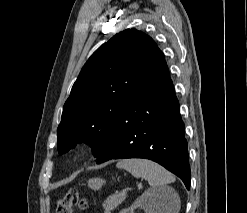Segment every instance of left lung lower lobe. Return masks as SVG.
<instances>
[{"instance_id":"1","label":"left lung lower lobe","mask_w":247,"mask_h":213,"mask_svg":"<svg viewBox=\"0 0 247 213\" xmlns=\"http://www.w3.org/2000/svg\"><path fill=\"white\" fill-rule=\"evenodd\" d=\"M125 158L153 160L190 188L184 123L165 60L147 70L136 95L126 101L97 163Z\"/></svg>"}]
</instances>
